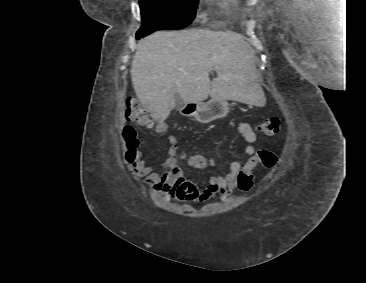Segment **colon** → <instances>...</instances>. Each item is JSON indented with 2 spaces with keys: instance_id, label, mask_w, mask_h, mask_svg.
<instances>
[{
  "instance_id": "colon-1",
  "label": "colon",
  "mask_w": 366,
  "mask_h": 283,
  "mask_svg": "<svg viewBox=\"0 0 366 283\" xmlns=\"http://www.w3.org/2000/svg\"><path fill=\"white\" fill-rule=\"evenodd\" d=\"M126 118L130 122H134L137 125L148 126L150 121L146 116L145 109L135 100L129 99L126 102L125 110ZM258 131L266 136H273L280 130V119L278 117H270L258 124ZM127 143L130 148H135L137 145V138L133 128L127 127L124 132ZM134 152L129 151V160L133 157ZM278 158L275 153L261 149L256 152L255 156L246 163L243 170L240 172L237 180V186L242 192H247L252 189L254 185L253 170L257 165H262L265 168H274L277 165ZM192 164L194 166H202L203 161L200 159H193Z\"/></svg>"
}]
</instances>
